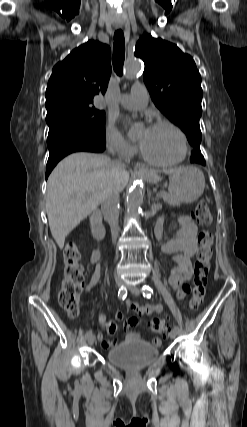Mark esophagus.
Segmentation results:
<instances>
[{"instance_id":"34e87169","label":"esophagus","mask_w":247,"mask_h":427,"mask_svg":"<svg viewBox=\"0 0 247 427\" xmlns=\"http://www.w3.org/2000/svg\"><path fill=\"white\" fill-rule=\"evenodd\" d=\"M117 28L119 29V28H121V26H120V25H118V26H117ZM134 170H135L136 172L143 173V174H151V173H152V171H151V170H149L148 168L141 167V166H136V167H134Z\"/></svg>"}]
</instances>
